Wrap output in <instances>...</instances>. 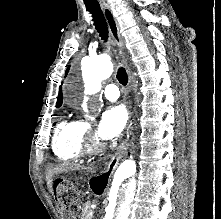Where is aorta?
I'll list each match as a JSON object with an SVG mask.
<instances>
[{
    "label": "aorta",
    "instance_id": "obj_1",
    "mask_svg": "<svg viewBox=\"0 0 221 219\" xmlns=\"http://www.w3.org/2000/svg\"><path fill=\"white\" fill-rule=\"evenodd\" d=\"M84 69L90 73V93L95 94L101 88V81L113 73V63L108 55H99L83 62ZM89 99L84 98L82 107L88 111ZM140 174L137 159L123 162L115 171L110 194L106 219H128L131 204L135 197Z\"/></svg>",
    "mask_w": 221,
    "mask_h": 219
}]
</instances>
